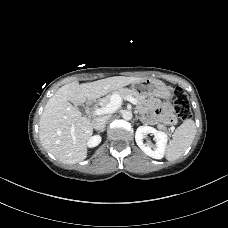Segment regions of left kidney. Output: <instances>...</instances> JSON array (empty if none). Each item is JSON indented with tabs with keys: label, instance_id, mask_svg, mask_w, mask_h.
<instances>
[{
	"label": "left kidney",
	"instance_id": "obj_1",
	"mask_svg": "<svg viewBox=\"0 0 228 228\" xmlns=\"http://www.w3.org/2000/svg\"><path fill=\"white\" fill-rule=\"evenodd\" d=\"M147 134L154 135L155 145L145 143L144 139ZM135 140L139 148L148 156L154 159H162L164 157L168 136L165 132L158 131L150 126H140L135 133Z\"/></svg>",
	"mask_w": 228,
	"mask_h": 228
}]
</instances>
